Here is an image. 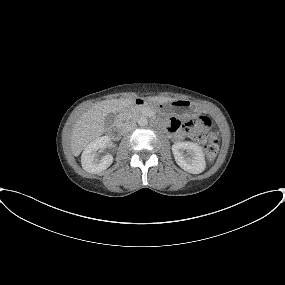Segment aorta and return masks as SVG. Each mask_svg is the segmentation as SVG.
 <instances>
[{
  "label": "aorta",
  "mask_w": 285,
  "mask_h": 285,
  "mask_svg": "<svg viewBox=\"0 0 285 285\" xmlns=\"http://www.w3.org/2000/svg\"><path fill=\"white\" fill-rule=\"evenodd\" d=\"M137 122L139 126H146L148 124V119L142 116L138 119Z\"/></svg>",
  "instance_id": "1"
}]
</instances>
